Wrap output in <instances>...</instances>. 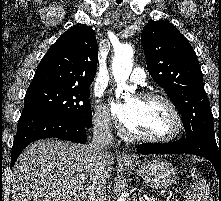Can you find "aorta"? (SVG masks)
<instances>
[{
  "label": "aorta",
  "instance_id": "1",
  "mask_svg": "<svg viewBox=\"0 0 221 201\" xmlns=\"http://www.w3.org/2000/svg\"><path fill=\"white\" fill-rule=\"evenodd\" d=\"M133 48L129 44H122L115 49V57L112 63V71L115 80L117 81L116 95H119L123 90L128 91L126 81L132 71ZM117 201H127L126 197H120Z\"/></svg>",
  "mask_w": 221,
  "mask_h": 201
}]
</instances>
